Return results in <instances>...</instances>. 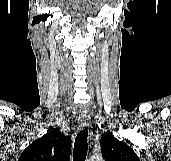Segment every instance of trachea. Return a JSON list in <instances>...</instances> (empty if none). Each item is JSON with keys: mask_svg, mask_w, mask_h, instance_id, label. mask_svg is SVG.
<instances>
[{"mask_svg": "<svg viewBox=\"0 0 171 161\" xmlns=\"http://www.w3.org/2000/svg\"><path fill=\"white\" fill-rule=\"evenodd\" d=\"M88 130L85 127L81 130L75 139L73 149V161H84L88 150Z\"/></svg>", "mask_w": 171, "mask_h": 161, "instance_id": "trachea-1", "label": "trachea"}]
</instances>
